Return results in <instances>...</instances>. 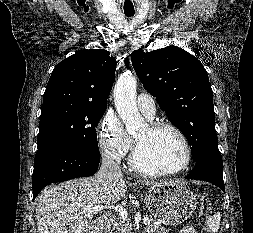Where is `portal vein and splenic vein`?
<instances>
[{"label":"portal vein and splenic vein","mask_w":253,"mask_h":233,"mask_svg":"<svg viewBox=\"0 0 253 233\" xmlns=\"http://www.w3.org/2000/svg\"><path fill=\"white\" fill-rule=\"evenodd\" d=\"M111 208L114 209L116 212H118L121 218H123V219H127L128 218V212H127V210L124 207L119 206V205H116V206H113V205H110V206H107V205L95 206L93 208H90L87 211V216H92V214H94L96 212H99L100 210L111 209ZM143 222L146 225H150V220H149L148 217H144L143 218Z\"/></svg>","instance_id":"portal-vein-and-splenic-vein-1"}]
</instances>
